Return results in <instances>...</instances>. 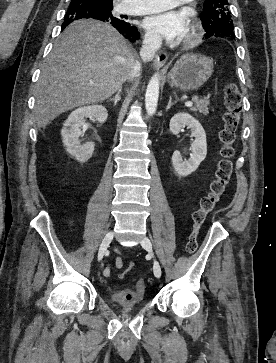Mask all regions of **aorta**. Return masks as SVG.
<instances>
[{"label":"aorta","mask_w":276,"mask_h":363,"mask_svg":"<svg viewBox=\"0 0 276 363\" xmlns=\"http://www.w3.org/2000/svg\"><path fill=\"white\" fill-rule=\"evenodd\" d=\"M159 76L155 74L151 77L145 94V108L147 114L152 116L157 108L158 97H159Z\"/></svg>","instance_id":"aorta-1"}]
</instances>
